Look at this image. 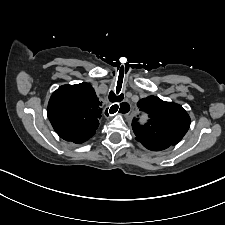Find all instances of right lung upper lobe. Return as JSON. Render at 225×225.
I'll list each match as a JSON object with an SVG mask.
<instances>
[{"instance_id":"1","label":"right lung upper lobe","mask_w":225,"mask_h":225,"mask_svg":"<svg viewBox=\"0 0 225 225\" xmlns=\"http://www.w3.org/2000/svg\"><path fill=\"white\" fill-rule=\"evenodd\" d=\"M101 106L90 84L63 85L51 95L48 118L61 138L80 144L95 134Z\"/></svg>"}]
</instances>
